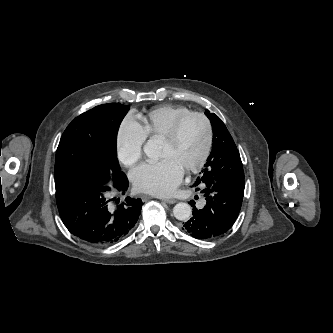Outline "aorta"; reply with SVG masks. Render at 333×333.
<instances>
[{"label": "aorta", "mask_w": 333, "mask_h": 333, "mask_svg": "<svg viewBox=\"0 0 333 333\" xmlns=\"http://www.w3.org/2000/svg\"><path fill=\"white\" fill-rule=\"evenodd\" d=\"M144 152L149 158H157V149L155 148L154 144L148 142L144 146ZM173 213L176 219L185 221L188 220L192 214V209L189 204L187 203H178L175 205L173 209Z\"/></svg>", "instance_id": "aorta-1"}]
</instances>
